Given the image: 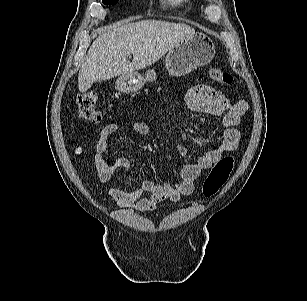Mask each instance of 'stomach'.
Masks as SVG:
<instances>
[{"label": "stomach", "instance_id": "1", "mask_svg": "<svg viewBox=\"0 0 307 301\" xmlns=\"http://www.w3.org/2000/svg\"><path fill=\"white\" fill-rule=\"evenodd\" d=\"M215 55L212 41L203 33L194 32L183 37L165 58V67L171 76H184L200 66L210 63ZM154 70L149 69L143 76L134 71L121 75L115 83V88L123 93H132L141 89L145 82L156 80Z\"/></svg>", "mask_w": 307, "mask_h": 301}]
</instances>
